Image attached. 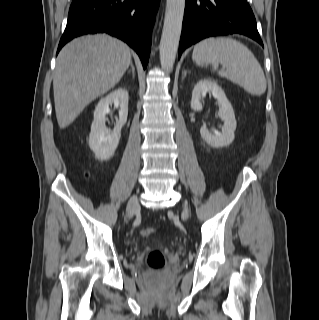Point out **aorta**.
<instances>
[{
  "label": "aorta",
  "instance_id": "762f6f07",
  "mask_svg": "<svg viewBox=\"0 0 319 320\" xmlns=\"http://www.w3.org/2000/svg\"><path fill=\"white\" fill-rule=\"evenodd\" d=\"M185 0H167L164 26L159 46L161 67L166 72L173 70L180 40Z\"/></svg>",
  "mask_w": 319,
  "mask_h": 320
}]
</instances>
